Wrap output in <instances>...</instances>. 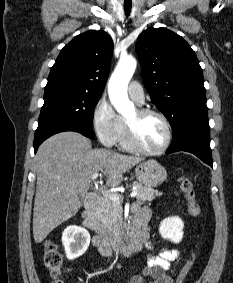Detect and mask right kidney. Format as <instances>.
<instances>
[{
    "instance_id": "1",
    "label": "right kidney",
    "mask_w": 233,
    "mask_h": 283,
    "mask_svg": "<svg viewBox=\"0 0 233 283\" xmlns=\"http://www.w3.org/2000/svg\"><path fill=\"white\" fill-rule=\"evenodd\" d=\"M62 243L67 258L73 260L87 250L90 243V234L83 227L68 226L62 234Z\"/></svg>"
}]
</instances>
